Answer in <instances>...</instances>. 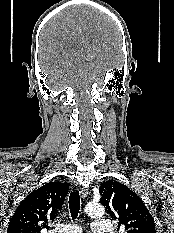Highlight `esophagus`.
Returning <instances> with one entry per match:
<instances>
[{"instance_id": "esophagus-1", "label": "esophagus", "mask_w": 174, "mask_h": 233, "mask_svg": "<svg viewBox=\"0 0 174 233\" xmlns=\"http://www.w3.org/2000/svg\"><path fill=\"white\" fill-rule=\"evenodd\" d=\"M79 191H80L81 197L85 199L87 197L88 190L85 187H80Z\"/></svg>"}]
</instances>
